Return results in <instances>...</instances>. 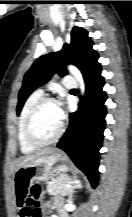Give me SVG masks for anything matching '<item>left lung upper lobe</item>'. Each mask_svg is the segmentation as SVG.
<instances>
[{
  "label": "left lung upper lobe",
  "mask_w": 132,
  "mask_h": 217,
  "mask_svg": "<svg viewBox=\"0 0 132 217\" xmlns=\"http://www.w3.org/2000/svg\"><path fill=\"white\" fill-rule=\"evenodd\" d=\"M93 42L88 37L86 30L74 27L71 33L70 45H65L57 53H49L38 58L25 74L22 88L19 91L17 114L20 113L27 97L37 87L50 80L53 73L58 72L62 76L68 72L65 66L69 63L77 66L85 78L99 65L98 54L92 49Z\"/></svg>",
  "instance_id": "5c2ea615"
}]
</instances>
